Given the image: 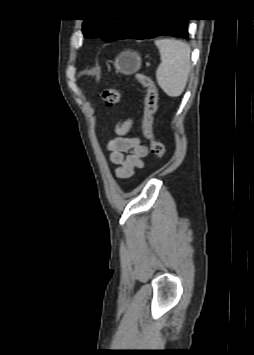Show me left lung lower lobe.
I'll list each match as a JSON object with an SVG mask.
<instances>
[{"label":"left lung lower lobe","instance_id":"left-lung-lower-lobe-1","mask_svg":"<svg viewBox=\"0 0 254 355\" xmlns=\"http://www.w3.org/2000/svg\"><path fill=\"white\" fill-rule=\"evenodd\" d=\"M188 19H147L132 18L116 40L154 38L156 36H174L189 39Z\"/></svg>","mask_w":254,"mask_h":355}]
</instances>
